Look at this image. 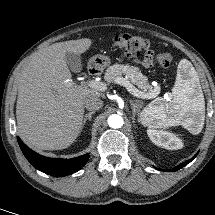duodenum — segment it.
<instances>
[{
    "mask_svg": "<svg viewBox=\"0 0 215 215\" xmlns=\"http://www.w3.org/2000/svg\"><path fill=\"white\" fill-rule=\"evenodd\" d=\"M88 73H89L90 75H96V74L98 73V71H97V69H96L94 66H90V67L88 68Z\"/></svg>",
    "mask_w": 215,
    "mask_h": 215,
    "instance_id": "410a0bca",
    "label": "duodenum"
}]
</instances>
